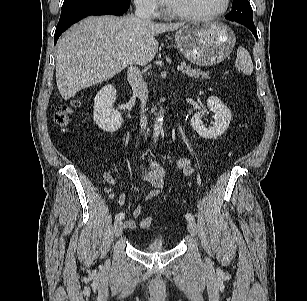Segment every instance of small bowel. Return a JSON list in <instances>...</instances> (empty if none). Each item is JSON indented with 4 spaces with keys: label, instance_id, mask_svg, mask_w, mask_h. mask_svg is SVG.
<instances>
[{
    "label": "small bowel",
    "instance_id": "c3829d8e",
    "mask_svg": "<svg viewBox=\"0 0 307 301\" xmlns=\"http://www.w3.org/2000/svg\"><path fill=\"white\" fill-rule=\"evenodd\" d=\"M177 166L185 175H190L192 172L191 164L187 158H180L177 162ZM140 175L143 180L147 181L151 185V189L145 195V200L154 199L164 191V172L156 163L149 161L147 165L141 169ZM104 179L108 183H113V179L108 173L104 174ZM116 200L119 205L127 204V197L124 194L118 195ZM141 213L142 207L136 206L133 210V216L137 218L141 215ZM124 227L126 229H133L136 227V222L133 219H127L124 222Z\"/></svg>",
    "mask_w": 307,
    "mask_h": 301
}]
</instances>
